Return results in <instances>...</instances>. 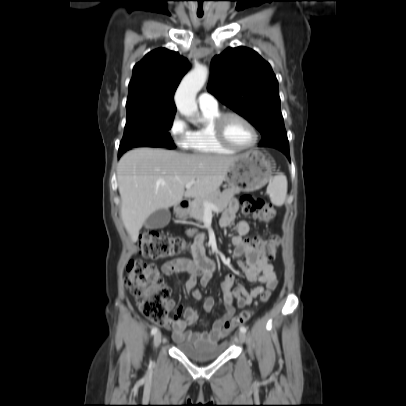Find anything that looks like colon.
I'll use <instances>...</instances> for the list:
<instances>
[{
  "instance_id": "1",
  "label": "colon",
  "mask_w": 406,
  "mask_h": 406,
  "mask_svg": "<svg viewBox=\"0 0 406 406\" xmlns=\"http://www.w3.org/2000/svg\"><path fill=\"white\" fill-rule=\"evenodd\" d=\"M242 210L246 215L252 216L260 222H271L276 218V210L266 204L263 198L244 195L240 198ZM248 245H255L259 252L266 259L274 257L278 246V238L259 239L245 241ZM140 254L147 259H164L182 253L185 250V243L182 239L169 236L165 233L149 230L141 233L138 240ZM125 286L136 298L142 314L152 322L164 326L168 323L167 299L170 295L169 288L158 268L151 263L142 260H132L127 266ZM271 296L270 290H265L260 296V303H266ZM253 314L252 310H244L228 320L224 329L229 331L249 321Z\"/></svg>"
}]
</instances>
